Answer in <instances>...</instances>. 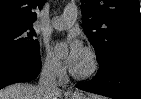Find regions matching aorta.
Wrapping results in <instances>:
<instances>
[{
  "label": "aorta",
  "mask_w": 141,
  "mask_h": 99,
  "mask_svg": "<svg viewBox=\"0 0 141 99\" xmlns=\"http://www.w3.org/2000/svg\"><path fill=\"white\" fill-rule=\"evenodd\" d=\"M64 46L65 45L63 43H59V44L56 45V49L60 51L64 48Z\"/></svg>",
  "instance_id": "762f6f07"
}]
</instances>
